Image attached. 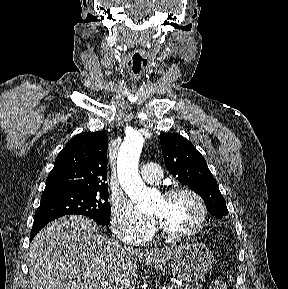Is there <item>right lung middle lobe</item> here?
<instances>
[{"instance_id":"obj_1","label":"right lung middle lobe","mask_w":288,"mask_h":289,"mask_svg":"<svg viewBox=\"0 0 288 289\" xmlns=\"http://www.w3.org/2000/svg\"><path fill=\"white\" fill-rule=\"evenodd\" d=\"M107 201V187L45 189L35 213L34 223L49 222L69 214H80L106 225L110 222L111 214Z\"/></svg>"}]
</instances>
